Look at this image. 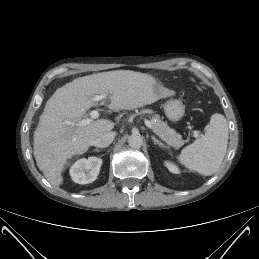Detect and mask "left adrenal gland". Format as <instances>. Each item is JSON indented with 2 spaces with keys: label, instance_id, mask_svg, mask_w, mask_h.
I'll return each mask as SVG.
<instances>
[{
  "label": "left adrenal gland",
  "instance_id": "left-adrenal-gland-1",
  "mask_svg": "<svg viewBox=\"0 0 259 259\" xmlns=\"http://www.w3.org/2000/svg\"><path fill=\"white\" fill-rule=\"evenodd\" d=\"M153 142H154V145H158L160 148H162L163 150L167 149V146L164 145L163 143H161L155 136H151Z\"/></svg>",
  "mask_w": 259,
  "mask_h": 259
}]
</instances>
